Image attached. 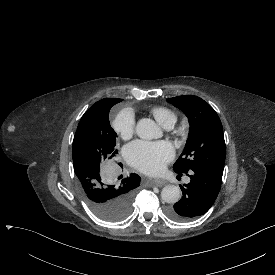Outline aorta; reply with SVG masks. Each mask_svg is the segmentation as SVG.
<instances>
[{"mask_svg": "<svg viewBox=\"0 0 275 275\" xmlns=\"http://www.w3.org/2000/svg\"><path fill=\"white\" fill-rule=\"evenodd\" d=\"M136 134L144 140H152L162 137L161 128L149 118L140 119L136 125ZM161 198L164 202L174 204L181 198V190L175 185H166L161 191Z\"/></svg>", "mask_w": 275, "mask_h": 275, "instance_id": "aorta-1", "label": "aorta"}]
</instances>
